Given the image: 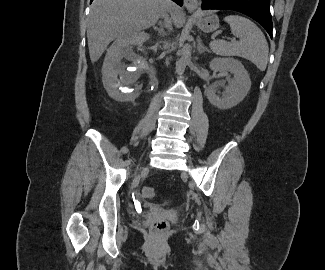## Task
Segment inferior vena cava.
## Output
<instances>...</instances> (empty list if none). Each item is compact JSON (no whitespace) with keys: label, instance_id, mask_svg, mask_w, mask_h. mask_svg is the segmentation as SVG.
I'll use <instances>...</instances> for the list:
<instances>
[{"label":"inferior vena cava","instance_id":"1","mask_svg":"<svg viewBox=\"0 0 325 270\" xmlns=\"http://www.w3.org/2000/svg\"><path fill=\"white\" fill-rule=\"evenodd\" d=\"M172 3L169 0H164V11H168V7L171 6ZM162 17L165 19L166 27H171V20L168 18V16L165 14V12L162 13Z\"/></svg>","mask_w":325,"mask_h":270}]
</instances>
